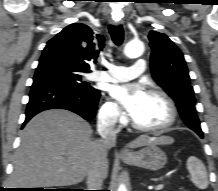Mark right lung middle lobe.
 I'll list each match as a JSON object with an SVG mask.
<instances>
[{"label": "right lung middle lobe", "instance_id": "obj_1", "mask_svg": "<svg viewBox=\"0 0 218 191\" xmlns=\"http://www.w3.org/2000/svg\"><path fill=\"white\" fill-rule=\"evenodd\" d=\"M83 73L85 72L72 67L56 57L42 56L36 68L34 78L39 76H55L69 83L75 89L83 90L88 93L97 91V89H94L89 86L88 83L82 81Z\"/></svg>", "mask_w": 218, "mask_h": 191}]
</instances>
